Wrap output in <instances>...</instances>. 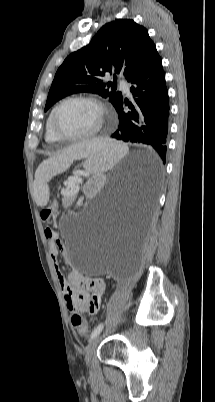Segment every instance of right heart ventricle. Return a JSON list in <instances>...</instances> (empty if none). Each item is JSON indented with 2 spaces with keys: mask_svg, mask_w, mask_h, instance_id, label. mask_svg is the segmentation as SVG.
<instances>
[{
  "mask_svg": "<svg viewBox=\"0 0 215 402\" xmlns=\"http://www.w3.org/2000/svg\"><path fill=\"white\" fill-rule=\"evenodd\" d=\"M51 115V113H50ZM50 115L47 118V122H46V132H45V138L46 141L49 143H57L60 142L61 139H59L52 131L51 129V125H50Z\"/></svg>",
  "mask_w": 215,
  "mask_h": 402,
  "instance_id": "1",
  "label": "right heart ventricle"
}]
</instances>
